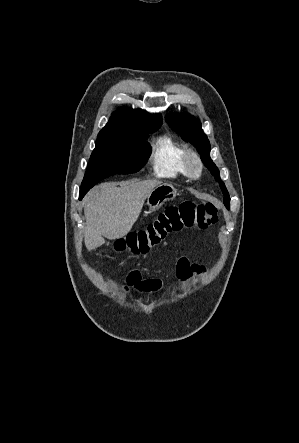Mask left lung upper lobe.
Wrapping results in <instances>:
<instances>
[{
  "label": "left lung upper lobe",
  "instance_id": "obj_1",
  "mask_svg": "<svg viewBox=\"0 0 299 443\" xmlns=\"http://www.w3.org/2000/svg\"><path fill=\"white\" fill-rule=\"evenodd\" d=\"M166 121L174 131L181 134L186 141L191 142L197 148L203 163L210 170L215 179L219 181L224 194V204L229 208V193L224 182L220 179L218 168L210 158V143L207 136L203 133L199 120L185 113L182 115L171 116L170 118H167Z\"/></svg>",
  "mask_w": 299,
  "mask_h": 443
}]
</instances>
